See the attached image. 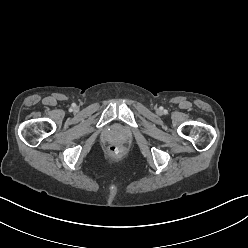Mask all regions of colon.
I'll return each instance as SVG.
<instances>
[{"instance_id": "1", "label": "colon", "mask_w": 248, "mask_h": 248, "mask_svg": "<svg viewBox=\"0 0 248 248\" xmlns=\"http://www.w3.org/2000/svg\"><path fill=\"white\" fill-rule=\"evenodd\" d=\"M124 153V150L122 147L117 145H112L109 147V155L114 158H118L122 156Z\"/></svg>"}]
</instances>
